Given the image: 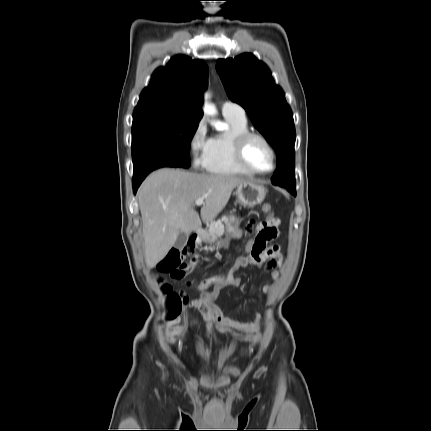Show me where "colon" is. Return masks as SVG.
<instances>
[{"label": "colon", "mask_w": 431, "mask_h": 431, "mask_svg": "<svg viewBox=\"0 0 431 431\" xmlns=\"http://www.w3.org/2000/svg\"><path fill=\"white\" fill-rule=\"evenodd\" d=\"M263 212L267 215L266 222L273 221V208L271 204L263 205ZM254 236H249L246 238L244 242V253L246 256H251ZM193 247L188 246L182 249H172L169 253L160 261L158 264V268L161 272L169 273L174 279L183 278L191 269V265L186 262V259L192 252ZM239 259H244V254H239ZM224 272V270H223ZM214 281V280H213ZM162 289L164 293L167 295V303L172 312V314H176L180 311L183 304L186 302V297L183 292L175 291L169 284L164 283L162 285Z\"/></svg>", "instance_id": "colon-1"}]
</instances>
